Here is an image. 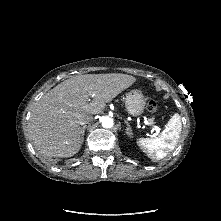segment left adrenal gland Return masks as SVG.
Here are the masks:
<instances>
[{
    "instance_id": "left-adrenal-gland-1",
    "label": "left adrenal gland",
    "mask_w": 221,
    "mask_h": 221,
    "mask_svg": "<svg viewBox=\"0 0 221 221\" xmlns=\"http://www.w3.org/2000/svg\"><path fill=\"white\" fill-rule=\"evenodd\" d=\"M127 124V128H126V133L128 136L132 137L133 133H132V129L129 125V123L127 121H124Z\"/></svg>"
}]
</instances>
